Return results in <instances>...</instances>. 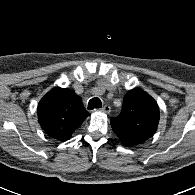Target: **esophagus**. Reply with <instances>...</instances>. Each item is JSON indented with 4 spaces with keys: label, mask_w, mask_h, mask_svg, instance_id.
<instances>
[{
    "label": "esophagus",
    "mask_w": 195,
    "mask_h": 195,
    "mask_svg": "<svg viewBox=\"0 0 195 195\" xmlns=\"http://www.w3.org/2000/svg\"><path fill=\"white\" fill-rule=\"evenodd\" d=\"M100 110L109 114L111 112V107L109 105H104Z\"/></svg>",
    "instance_id": "esophagus-1"
}]
</instances>
